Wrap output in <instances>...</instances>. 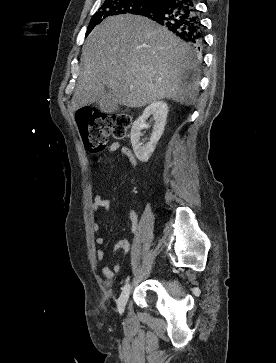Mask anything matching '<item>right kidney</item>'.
Listing matches in <instances>:
<instances>
[{
	"mask_svg": "<svg viewBox=\"0 0 276 363\" xmlns=\"http://www.w3.org/2000/svg\"><path fill=\"white\" fill-rule=\"evenodd\" d=\"M167 114V104L163 101H157L147 106L142 115L134 121L131 128V144L139 161L147 162L150 159L155 150L156 144L164 132ZM151 115L155 120L151 139L150 142L143 144L140 141L141 129L144 127L146 119Z\"/></svg>",
	"mask_w": 276,
	"mask_h": 363,
	"instance_id": "1",
	"label": "right kidney"
}]
</instances>
